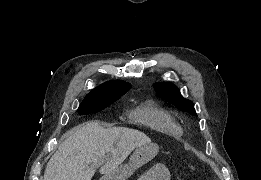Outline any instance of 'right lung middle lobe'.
Returning a JSON list of instances; mask_svg holds the SVG:
<instances>
[{"mask_svg":"<svg viewBox=\"0 0 261 180\" xmlns=\"http://www.w3.org/2000/svg\"><path fill=\"white\" fill-rule=\"evenodd\" d=\"M118 97L90 98L86 97L78 108L80 114H90L103 110L108 105L118 100Z\"/></svg>","mask_w":261,"mask_h":180,"instance_id":"1","label":"right lung middle lobe"}]
</instances>
